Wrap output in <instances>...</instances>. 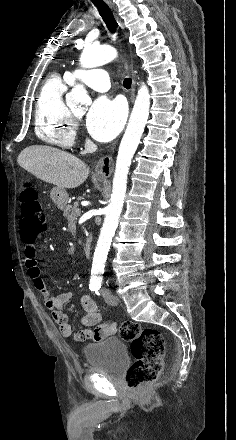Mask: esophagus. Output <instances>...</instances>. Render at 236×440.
<instances>
[{
	"label": "esophagus",
	"instance_id": "1",
	"mask_svg": "<svg viewBox=\"0 0 236 440\" xmlns=\"http://www.w3.org/2000/svg\"><path fill=\"white\" fill-rule=\"evenodd\" d=\"M115 15L116 20L118 21L119 25L121 26V28H123V24L122 22L119 20V18ZM131 73H132V86H131V100H134L135 97V89H136V80L134 77V71L133 68H131ZM114 168V164H113V159L111 155H107L102 157L96 164L95 169H94V174L100 178H108Z\"/></svg>",
	"mask_w": 236,
	"mask_h": 440
}]
</instances>
